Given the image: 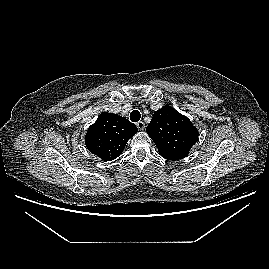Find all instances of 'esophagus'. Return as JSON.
Returning a JSON list of instances; mask_svg holds the SVG:
<instances>
[{
	"label": "esophagus",
	"mask_w": 269,
	"mask_h": 269,
	"mask_svg": "<svg viewBox=\"0 0 269 269\" xmlns=\"http://www.w3.org/2000/svg\"><path fill=\"white\" fill-rule=\"evenodd\" d=\"M136 125L140 131L145 129V123L143 121L137 122Z\"/></svg>",
	"instance_id": "obj_1"
}]
</instances>
